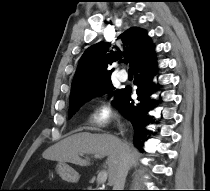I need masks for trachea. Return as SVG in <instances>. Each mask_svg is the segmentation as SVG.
<instances>
[{"label": "trachea", "instance_id": "trachea-1", "mask_svg": "<svg viewBox=\"0 0 210 191\" xmlns=\"http://www.w3.org/2000/svg\"><path fill=\"white\" fill-rule=\"evenodd\" d=\"M123 62H124V63H127V59H124Z\"/></svg>", "mask_w": 210, "mask_h": 191}]
</instances>
